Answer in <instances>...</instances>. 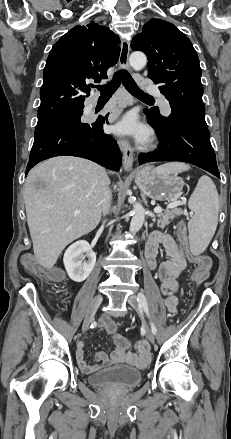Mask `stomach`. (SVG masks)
Wrapping results in <instances>:
<instances>
[{"mask_svg":"<svg viewBox=\"0 0 231 439\" xmlns=\"http://www.w3.org/2000/svg\"><path fill=\"white\" fill-rule=\"evenodd\" d=\"M133 176L141 192L158 201L177 198L184 186L183 179L177 174L161 173L148 165L137 168Z\"/></svg>","mask_w":231,"mask_h":439,"instance_id":"1","label":"stomach"}]
</instances>
